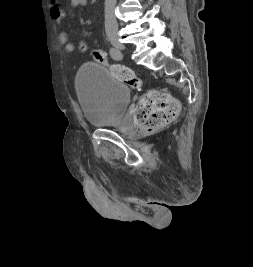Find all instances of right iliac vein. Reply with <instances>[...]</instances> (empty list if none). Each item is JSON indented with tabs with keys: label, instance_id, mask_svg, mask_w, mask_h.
I'll list each match as a JSON object with an SVG mask.
<instances>
[{
	"label": "right iliac vein",
	"instance_id": "1",
	"mask_svg": "<svg viewBox=\"0 0 253 267\" xmlns=\"http://www.w3.org/2000/svg\"><path fill=\"white\" fill-rule=\"evenodd\" d=\"M109 41L112 43L113 46H115L116 48H119V49H123L124 46L123 44L119 43L118 41V38L116 36H111L109 38Z\"/></svg>",
	"mask_w": 253,
	"mask_h": 267
}]
</instances>
